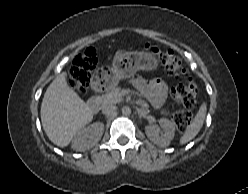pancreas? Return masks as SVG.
<instances>
[{
    "mask_svg": "<svg viewBox=\"0 0 248 194\" xmlns=\"http://www.w3.org/2000/svg\"><path fill=\"white\" fill-rule=\"evenodd\" d=\"M101 105L116 104L122 101L120 88L116 87L99 97Z\"/></svg>",
    "mask_w": 248,
    "mask_h": 194,
    "instance_id": "pancreas-1",
    "label": "pancreas"
}]
</instances>
